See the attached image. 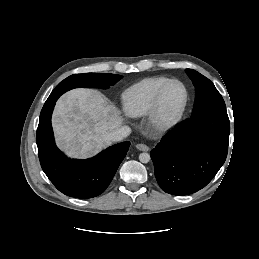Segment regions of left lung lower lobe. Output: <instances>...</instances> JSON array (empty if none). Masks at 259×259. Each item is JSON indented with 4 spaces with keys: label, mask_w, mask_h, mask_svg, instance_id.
<instances>
[{
    "label": "left lung lower lobe",
    "mask_w": 259,
    "mask_h": 259,
    "mask_svg": "<svg viewBox=\"0 0 259 259\" xmlns=\"http://www.w3.org/2000/svg\"><path fill=\"white\" fill-rule=\"evenodd\" d=\"M229 133L226 110L191 116L169 131L150 153L160 187L172 195L205 187L226 160Z\"/></svg>",
    "instance_id": "obj_1"
}]
</instances>
